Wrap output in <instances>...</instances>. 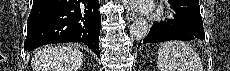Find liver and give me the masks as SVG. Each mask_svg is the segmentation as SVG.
Instances as JSON below:
<instances>
[{"instance_id": "1", "label": "liver", "mask_w": 230, "mask_h": 71, "mask_svg": "<svg viewBox=\"0 0 230 71\" xmlns=\"http://www.w3.org/2000/svg\"><path fill=\"white\" fill-rule=\"evenodd\" d=\"M83 62V53L76 45L47 47L32 58L33 71H78Z\"/></svg>"}]
</instances>
